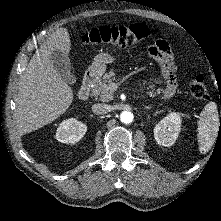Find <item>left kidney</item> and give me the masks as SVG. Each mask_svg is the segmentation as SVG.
Instances as JSON below:
<instances>
[{
    "mask_svg": "<svg viewBox=\"0 0 221 221\" xmlns=\"http://www.w3.org/2000/svg\"><path fill=\"white\" fill-rule=\"evenodd\" d=\"M181 122L180 114L176 112L162 119L154 128L156 142L163 146H172L179 135Z\"/></svg>",
    "mask_w": 221,
    "mask_h": 221,
    "instance_id": "5707ae66",
    "label": "left kidney"
}]
</instances>
